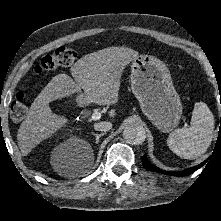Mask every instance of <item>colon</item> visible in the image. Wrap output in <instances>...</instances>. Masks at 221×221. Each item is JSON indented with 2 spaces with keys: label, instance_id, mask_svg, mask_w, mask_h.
Wrapping results in <instances>:
<instances>
[{
  "label": "colon",
  "instance_id": "colon-1",
  "mask_svg": "<svg viewBox=\"0 0 221 221\" xmlns=\"http://www.w3.org/2000/svg\"><path fill=\"white\" fill-rule=\"evenodd\" d=\"M77 60L76 51L69 46H60L50 54L45 55L38 64L35 65L34 71L37 74L48 73L62 67H68ZM27 113L25 96L18 93L10 108L12 120L21 121Z\"/></svg>",
  "mask_w": 221,
  "mask_h": 221
}]
</instances>
